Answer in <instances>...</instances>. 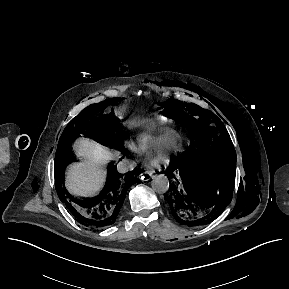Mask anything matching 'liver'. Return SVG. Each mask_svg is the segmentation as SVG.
I'll return each mask as SVG.
<instances>
[{
    "instance_id": "liver-1",
    "label": "liver",
    "mask_w": 289,
    "mask_h": 289,
    "mask_svg": "<svg viewBox=\"0 0 289 289\" xmlns=\"http://www.w3.org/2000/svg\"><path fill=\"white\" fill-rule=\"evenodd\" d=\"M75 150L84 159V163L69 167L66 187L75 196H93L102 187L104 171L101 165L107 161L110 153L98 143L88 139L78 140Z\"/></svg>"
}]
</instances>
